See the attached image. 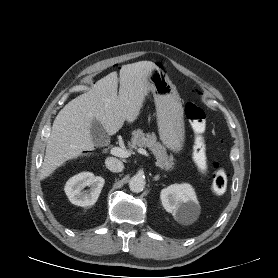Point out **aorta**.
I'll return each mask as SVG.
<instances>
[{"label": "aorta", "mask_w": 278, "mask_h": 278, "mask_svg": "<svg viewBox=\"0 0 278 278\" xmlns=\"http://www.w3.org/2000/svg\"><path fill=\"white\" fill-rule=\"evenodd\" d=\"M145 180L142 176L135 175L129 181V188L134 193H140L144 190Z\"/></svg>", "instance_id": "obj_1"}]
</instances>
